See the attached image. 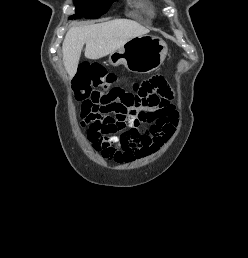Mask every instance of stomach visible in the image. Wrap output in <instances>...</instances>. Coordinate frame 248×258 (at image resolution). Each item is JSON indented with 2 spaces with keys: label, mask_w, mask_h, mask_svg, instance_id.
I'll return each instance as SVG.
<instances>
[{
  "label": "stomach",
  "mask_w": 248,
  "mask_h": 258,
  "mask_svg": "<svg viewBox=\"0 0 248 258\" xmlns=\"http://www.w3.org/2000/svg\"><path fill=\"white\" fill-rule=\"evenodd\" d=\"M166 43L156 36L143 35L132 38L109 56L114 65H124L133 73H151L157 70L167 55Z\"/></svg>",
  "instance_id": "obj_1"
}]
</instances>
